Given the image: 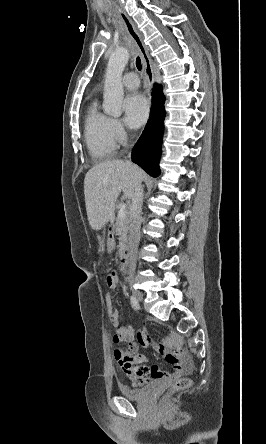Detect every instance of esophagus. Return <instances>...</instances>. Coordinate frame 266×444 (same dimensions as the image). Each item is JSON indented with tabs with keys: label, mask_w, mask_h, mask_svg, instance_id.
<instances>
[{
	"label": "esophagus",
	"mask_w": 266,
	"mask_h": 444,
	"mask_svg": "<svg viewBox=\"0 0 266 444\" xmlns=\"http://www.w3.org/2000/svg\"><path fill=\"white\" fill-rule=\"evenodd\" d=\"M117 11H118V14H119L121 20L124 23V26L126 28V31L129 35V37L134 42L135 46L137 47V49L142 57L144 72H145V76H146L147 83H148V95H149V99L151 100V92H152V88L154 85V72H153V67H152V63H151V59L149 57L148 51L143 43L142 37L138 33L135 25L133 24L131 19L128 17V15L124 12V10H122L118 6H117Z\"/></svg>",
	"instance_id": "1"
}]
</instances>
